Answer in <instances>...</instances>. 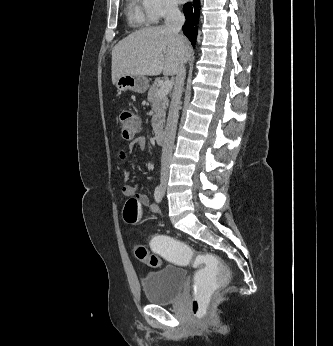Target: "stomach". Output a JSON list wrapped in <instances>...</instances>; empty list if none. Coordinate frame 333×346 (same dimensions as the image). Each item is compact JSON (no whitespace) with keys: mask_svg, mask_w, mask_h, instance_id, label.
<instances>
[{"mask_svg":"<svg viewBox=\"0 0 333 346\" xmlns=\"http://www.w3.org/2000/svg\"><path fill=\"white\" fill-rule=\"evenodd\" d=\"M115 85L119 91L144 93L149 87V81L145 76L123 75L117 79Z\"/></svg>","mask_w":333,"mask_h":346,"instance_id":"0dacf381","label":"stomach"}]
</instances>
